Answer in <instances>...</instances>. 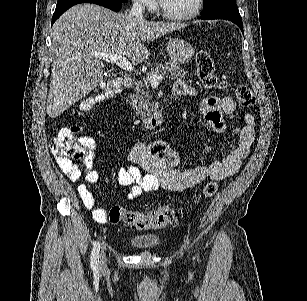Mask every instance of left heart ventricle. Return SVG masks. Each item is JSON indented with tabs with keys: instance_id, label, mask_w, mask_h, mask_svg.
I'll list each match as a JSON object with an SVG mask.
<instances>
[{
	"instance_id": "obj_1",
	"label": "left heart ventricle",
	"mask_w": 307,
	"mask_h": 301,
	"mask_svg": "<svg viewBox=\"0 0 307 301\" xmlns=\"http://www.w3.org/2000/svg\"><path fill=\"white\" fill-rule=\"evenodd\" d=\"M195 0H165V11H191Z\"/></svg>"
}]
</instances>
